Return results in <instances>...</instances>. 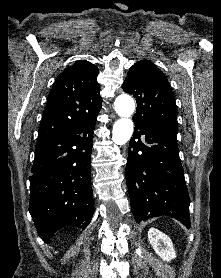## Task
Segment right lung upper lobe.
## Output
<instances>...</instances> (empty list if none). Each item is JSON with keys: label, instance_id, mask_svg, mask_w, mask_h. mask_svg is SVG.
I'll return each instance as SVG.
<instances>
[{"label": "right lung upper lobe", "instance_id": "right-lung-upper-lobe-1", "mask_svg": "<svg viewBox=\"0 0 221 278\" xmlns=\"http://www.w3.org/2000/svg\"><path fill=\"white\" fill-rule=\"evenodd\" d=\"M98 68L80 60L66 68L49 92L36 146L42 145L101 109Z\"/></svg>", "mask_w": 221, "mask_h": 278}]
</instances>
